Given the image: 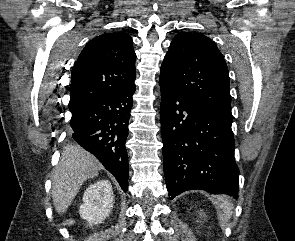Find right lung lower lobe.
<instances>
[{
  "instance_id": "98d812e1",
  "label": "right lung lower lobe",
  "mask_w": 295,
  "mask_h": 241,
  "mask_svg": "<svg viewBox=\"0 0 295 241\" xmlns=\"http://www.w3.org/2000/svg\"><path fill=\"white\" fill-rule=\"evenodd\" d=\"M131 87L97 95L70 107L72 138L91 152L112 173L123 191L128 189V155L125 142L133 105Z\"/></svg>"
}]
</instances>
